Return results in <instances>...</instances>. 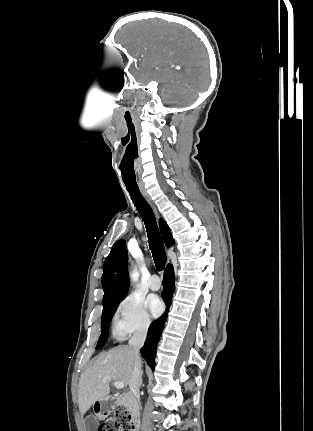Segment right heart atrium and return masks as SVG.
Returning <instances> with one entry per match:
<instances>
[{
	"instance_id": "d8ad5b80",
	"label": "right heart atrium",
	"mask_w": 313,
	"mask_h": 431,
	"mask_svg": "<svg viewBox=\"0 0 313 431\" xmlns=\"http://www.w3.org/2000/svg\"><path fill=\"white\" fill-rule=\"evenodd\" d=\"M150 325L151 317L141 298L131 294L120 302L113 322L116 336L124 338L131 334H144Z\"/></svg>"
}]
</instances>
